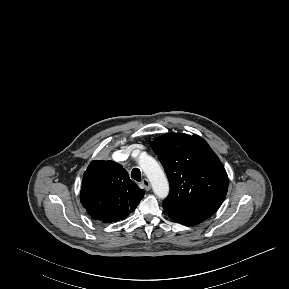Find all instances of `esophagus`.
Returning <instances> with one entry per match:
<instances>
[{
	"label": "esophagus",
	"mask_w": 289,
	"mask_h": 289,
	"mask_svg": "<svg viewBox=\"0 0 289 289\" xmlns=\"http://www.w3.org/2000/svg\"><path fill=\"white\" fill-rule=\"evenodd\" d=\"M142 186L146 191H149L151 189V184L148 179H143L142 180Z\"/></svg>",
	"instance_id": "obj_1"
}]
</instances>
